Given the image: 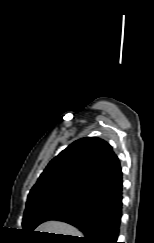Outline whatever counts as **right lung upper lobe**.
Wrapping results in <instances>:
<instances>
[{"instance_id":"cb5924a9","label":"right lung upper lobe","mask_w":154,"mask_h":243,"mask_svg":"<svg viewBox=\"0 0 154 243\" xmlns=\"http://www.w3.org/2000/svg\"><path fill=\"white\" fill-rule=\"evenodd\" d=\"M121 179L119 159L112 147L97 137L82 138L47 165L27 201L50 195L88 200Z\"/></svg>"}]
</instances>
